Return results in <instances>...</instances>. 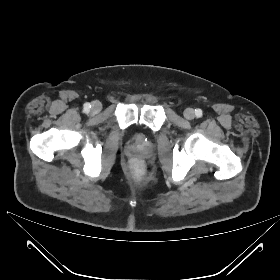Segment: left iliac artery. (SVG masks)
I'll list each match as a JSON object with an SVG mask.
<instances>
[{"instance_id":"1","label":"left iliac artery","mask_w":280,"mask_h":280,"mask_svg":"<svg viewBox=\"0 0 280 280\" xmlns=\"http://www.w3.org/2000/svg\"><path fill=\"white\" fill-rule=\"evenodd\" d=\"M195 112L198 117L202 115V111L200 109L195 110Z\"/></svg>"}]
</instances>
